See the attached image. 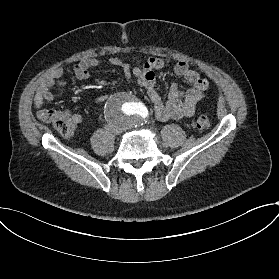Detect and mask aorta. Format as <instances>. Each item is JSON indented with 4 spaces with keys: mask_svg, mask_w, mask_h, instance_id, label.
<instances>
[{
    "mask_svg": "<svg viewBox=\"0 0 279 279\" xmlns=\"http://www.w3.org/2000/svg\"><path fill=\"white\" fill-rule=\"evenodd\" d=\"M138 103L127 93L115 95L107 105V115L111 119L122 118L130 120L136 117Z\"/></svg>",
    "mask_w": 279,
    "mask_h": 279,
    "instance_id": "762f6f07",
    "label": "aorta"
}]
</instances>
